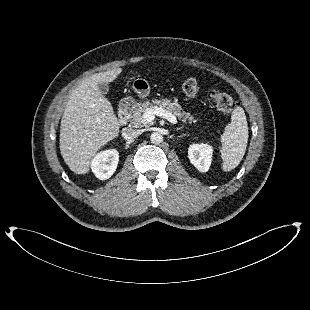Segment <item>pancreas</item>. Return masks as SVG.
<instances>
[{"instance_id": "1", "label": "pancreas", "mask_w": 310, "mask_h": 310, "mask_svg": "<svg viewBox=\"0 0 310 310\" xmlns=\"http://www.w3.org/2000/svg\"><path fill=\"white\" fill-rule=\"evenodd\" d=\"M155 106H154V105ZM153 104L149 101L144 103H139L137 108L133 113V119L131 120V125L135 128H142L147 127L149 123L144 121L143 114L146 110L153 108V107H161L166 111L172 113L173 115L177 116L184 123H195L197 122L196 118H194L189 112L183 110V108L178 104V102L168 99H161V100H154Z\"/></svg>"}]
</instances>
